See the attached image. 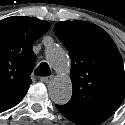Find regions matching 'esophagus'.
Masks as SVG:
<instances>
[{
  "instance_id": "esophagus-1",
  "label": "esophagus",
  "mask_w": 125,
  "mask_h": 125,
  "mask_svg": "<svg viewBox=\"0 0 125 125\" xmlns=\"http://www.w3.org/2000/svg\"><path fill=\"white\" fill-rule=\"evenodd\" d=\"M53 79V77L51 76H46V77H40L39 80L41 82H44V83H48L49 81H51Z\"/></svg>"
}]
</instances>
